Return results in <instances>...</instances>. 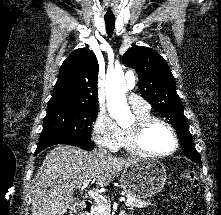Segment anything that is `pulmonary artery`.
<instances>
[{
	"label": "pulmonary artery",
	"instance_id": "e3ab8cb5",
	"mask_svg": "<svg viewBox=\"0 0 221 215\" xmlns=\"http://www.w3.org/2000/svg\"><path fill=\"white\" fill-rule=\"evenodd\" d=\"M128 102L134 112L148 111L150 109V105L137 94H130Z\"/></svg>",
	"mask_w": 221,
	"mask_h": 215
}]
</instances>
